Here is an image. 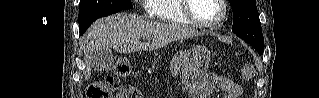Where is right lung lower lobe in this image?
<instances>
[{"label": "right lung lower lobe", "instance_id": "98d812e1", "mask_svg": "<svg viewBox=\"0 0 319 98\" xmlns=\"http://www.w3.org/2000/svg\"><path fill=\"white\" fill-rule=\"evenodd\" d=\"M96 19H92V20H89L83 24H80L79 25V29H80V34L82 35L86 29L95 21Z\"/></svg>", "mask_w": 319, "mask_h": 98}]
</instances>
